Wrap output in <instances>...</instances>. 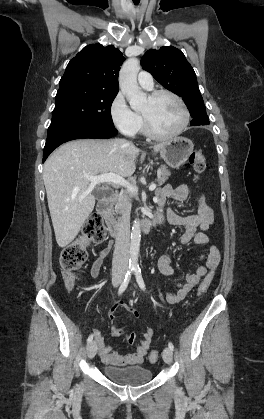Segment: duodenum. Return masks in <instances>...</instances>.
Instances as JSON below:
<instances>
[{
  "label": "duodenum",
  "instance_id": "410a0bca",
  "mask_svg": "<svg viewBox=\"0 0 264 419\" xmlns=\"http://www.w3.org/2000/svg\"><path fill=\"white\" fill-rule=\"evenodd\" d=\"M117 195L112 193L104 197L97 205V213L104 219L108 232L111 236L116 237L120 231V223L114 217L112 207ZM161 219L155 215L151 218L144 219L140 222V228L144 233L152 232L161 224Z\"/></svg>",
  "mask_w": 264,
  "mask_h": 419
}]
</instances>
